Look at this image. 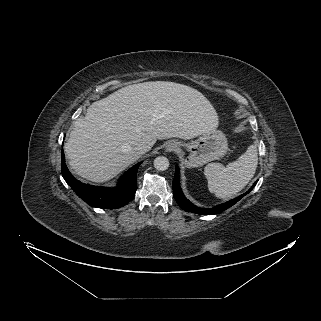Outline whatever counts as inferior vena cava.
<instances>
[{
  "label": "inferior vena cava",
  "mask_w": 321,
  "mask_h": 321,
  "mask_svg": "<svg viewBox=\"0 0 321 321\" xmlns=\"http://www.w3.org/2000/svg\"><path fill=\"white\" fill-rule=\"evenodd\" d=\"M134 150L138 153V154H144L146 152H148L150 150V147L145 144V143H142V144H138Z\"/></svg>",
  "instance_id": "602c4592"
}]
</instances>
